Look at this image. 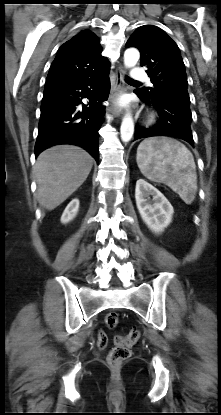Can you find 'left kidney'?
<instances>
[{
  "instance_id": "1",
  "label": "left kidney",
  "mask_w": 221,
  "mask_h": 415,
  "mask_svg": "<svg viewBox=\"0 0 221 415\" xmlns=\"http://www.w3.org/2000/svg\"><path fill=\"white\" fill-rule=\"evenodd\" d=\"M152 201H149V196ZM135 199L142 220L148 228L159 234L171 223L173 207L166 197L154 186L139 179L136 182Z\"/></svg>"
}]
</instances>
